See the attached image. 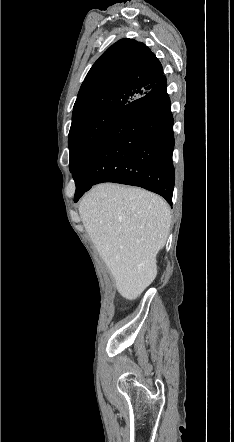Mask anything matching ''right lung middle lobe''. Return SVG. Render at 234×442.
Instances as JSON below:
<instances>
[{"instance_id":"dd1d6c3e","label":"right lung middle lobe","mask_w":234,"mask_h":442,"mask_svg":"<svg viewBox=\"0 0 234 442\" xmlns=\"http://www.w3.org/2000/svg\"><path fill=\"white\" fill-rule=\"evenodd\" d=\"M119 109L98 111L72 121L69 132L70 172H74L84 156L98 142Z\"/></svg>"}]
</instances>
